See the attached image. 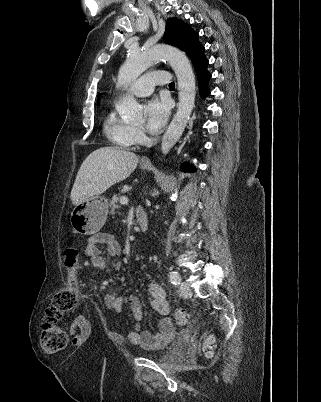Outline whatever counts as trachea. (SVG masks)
<instances>
[{
	"label": "trachea",
	"mask_w": 321,
	"mask_h": 402,
	"mask_svg": "<svg viewBox=\"0 0 321 402\" xmlns=\"http://www.w3.org/2000/svg\"><path fill=\"white\" fill-rule=\"evenodd\" d=\"M169 87H175V83H174V82H171V83L169 84Z\"/></svg>",
	"instance_id": "obj_1"
}]
</instances>
